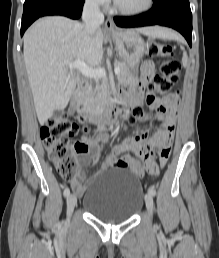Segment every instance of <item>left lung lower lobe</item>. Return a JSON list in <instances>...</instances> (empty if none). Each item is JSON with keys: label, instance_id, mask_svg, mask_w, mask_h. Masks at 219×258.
Here are the masks:
<instances>
[{"label": "left lung lower lobe", "instance_id": "0a47b994", "mask_svg": "<svg viewBox=\"0 0 219 258\" xmlns=\"http://www.w3.org/2000/svg\"><path fill=\"white\" fill-rule=\"evenodd\" d=\"M119 27L162 25L179 31L192 46V13L189 0H154L151 10L134 17H115Z\"/></svg>", "mask_w": 219, "mask_h": 258}]
</instances>
